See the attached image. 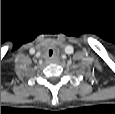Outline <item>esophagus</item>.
<instances>
[{
	"mask_svg": "<svg viewBox=\"0 0 115 114\" xmlns=\"http://www.w3.org/2000/svg\"><path fill=\"white\" fill-rule=\"evenodd\" d=\"M55 58H49V62H54Z\"/></svg>",
	"mask_w": 115,
	"mask_h": 114,
	"instance_id": "obj_1",
	"label": "esophagus"
}]
</instances>
